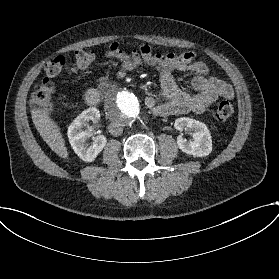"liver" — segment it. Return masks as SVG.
<instances>
[{
  "mask_svg": "<svg viewBox=\"0 0 279 279\" xmlns=\"http://www.w3.org/2000/svg\"><path fill=\"white\" fill-rule=\"evenodd\" d=\"M31 117L37 131L49 148L60 158L68 160L69 152L63 133L57 122L49 116L47 110L32 108Z\"/></svg>",
  "mask_w": 279,
  "mask_h": 279,
  "instance_id": "obj_1",
  "label": "liver"
}]
</instances>
